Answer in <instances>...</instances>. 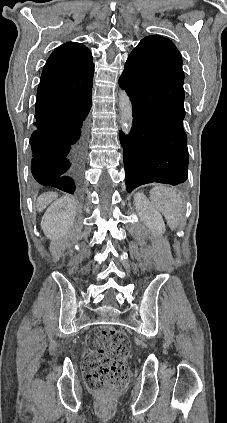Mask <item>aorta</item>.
<instances>
[{
	"label": "aorta",
	"mask_w": 227,
	"mask_h": 423,
	"mask_svg": "<svg viewBox=\"0 0 227 423\" xmlns=\"http://www.w3.org/2000/svg\"><path fill=\"white\" fill-rule=\"evenodd\" d=\"M119 118L123 132L127 135L132 128V103L125 91H122L119 98Z\"/></svg>",
	"instance_id": "1"
}]
</instances>
